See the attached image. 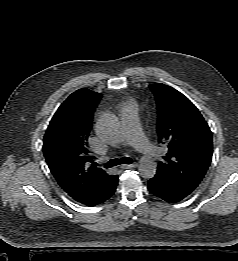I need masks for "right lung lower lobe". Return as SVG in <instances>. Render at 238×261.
<instances>
[{
    "mask_svg": "<svg viewBox=\"0 0 238 261\" xmlns=\"http://www.w3.org/2000/svg\"><path fill=\"white\" fill-rule=\"evenodd\" d=\"M118 184V176H114L111 182L106 186V188L91 201L86 203L87 206H95L107 201L115 192L116 186Z\"/></svg>",
    "mask_w": 238,
    "mask_h": 261,
    "instance_id": "right-lung-lower-lobe-1",
    "label": "right lung lower lobe"
}]
</instances>
